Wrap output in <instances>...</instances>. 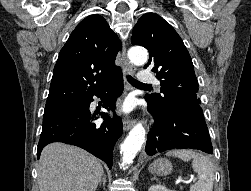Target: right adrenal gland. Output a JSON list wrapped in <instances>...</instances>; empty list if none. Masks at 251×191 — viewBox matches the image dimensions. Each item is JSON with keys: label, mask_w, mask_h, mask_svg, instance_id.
I'll use <instances>...</instances> for the list:
<instances>
[{"label": "right adrenal gland", "mask_w": 251, "mask_h": 191, "mask_svg": "<svg viewBox=\"0 0 251 191\" xmlns=\"http://www.w3.org/2000/svg\"><path fill=\"white\" fill-rule=\"evenodd\" d=\"M101 183H103V185H106V175H105V173H103L102 179H101V181H99V185H101Z\"/></svg>", "instance_id": "obj_1"}]
</instances>
